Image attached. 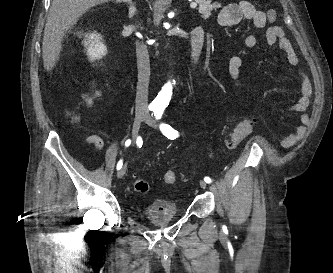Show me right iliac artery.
<instances>
[{
  "label": "right iliac artery",
  "mask_w": 333,
  "mask_h": 273,
  "mask_svg": "<svg viewBox=\"0 0 333 273\" xmlns=\"http://www.w3.org/2000/svg\"><path fill=\"white\" fill-rule=\"evenodd\" d=\"M149 110H152V109L149 108ZM130 144H131V140H130V139L126 140V142H125V147H128ZM122 165H123V161L120 160V161L117 163V170H120L121 167H122Z\"/></svg>",
  "instance_id": "1"
}]
</instances>
